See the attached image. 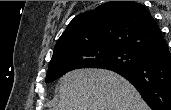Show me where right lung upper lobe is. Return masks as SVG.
Segmentation results:
<instances>
[{"instance_id":"right-lung-upper-lobe-1","label":"right lung upper lobe","mask_w":171,"mask_h":110,"mask_svg":"<svg viewBox=\"0 0 171 110\" xmlns=\"http://www.w3.org/2000/svg\"><path fill=\"white\" fill-rule=\"evenodd\" d=\"M163 42L159 26L145 6L135 1H110L76 16L58 39L52 57L108 47L142 53Z\"/></svg>"}]
</instances>
